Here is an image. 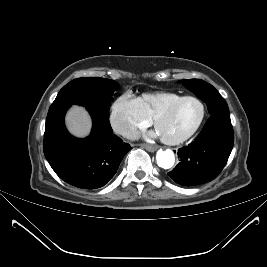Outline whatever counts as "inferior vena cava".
I'll list each match as a JSON object with an SVG mask.
<instances>
[{
    "instance_id": "602c4592",
    "label": "inferior vena cava",
    "mask_w": 267,
    "mask_h": 267,
    "mask_svg": "<svg viewBox=\"0 0 267 267\" xmlns=\"http://www.w3.org/2000/svg\"><path fill=\"white\" fill-rule=\"evenodd\" d=\"M114 131L128 139H136L138 137L137 129L129 125H116L114 126Z\"/></svg>"
}]
</instances>
